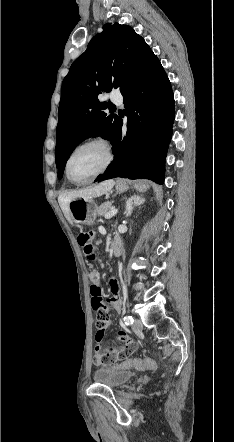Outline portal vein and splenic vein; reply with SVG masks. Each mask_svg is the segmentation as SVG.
Here are the masks:
<instances>
[{"label": "portal vein and splenic vein", "instance_id": "obj_1", "mask_svg": "<svg viewBox=\"0 0 234 442\" xmlns=\"http://www.w3.org/2000/svg\"><path fill=\"white\" fill-rule=\"evenodd\" d=\"M117 212H118V210L115 209V208H113L111 211H109L108 213H106V214L104 215V217H105L106 219H110V218H112L113 216H115V215L117 214Z\"/></svg>", "mask_w": 234, "mask_h": 442}]
</instances>
